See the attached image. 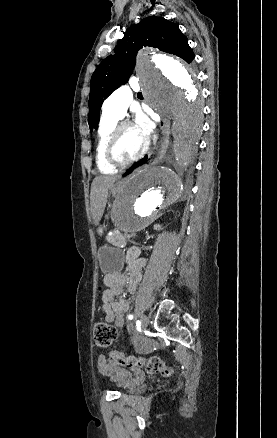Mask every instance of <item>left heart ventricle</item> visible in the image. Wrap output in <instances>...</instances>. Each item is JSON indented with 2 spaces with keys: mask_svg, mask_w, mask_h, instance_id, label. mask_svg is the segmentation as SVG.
Here are the masks:
<instances>
[{
  "mask_svg": "<svg viewBox=\"0 0 277 438\" xmlns=\"http://www.w3.org/2000/svg\"><path fill=\"white\" fill-rule=\"evenodd\" d=\"M143 146L144 142L136 132L135 128L127 127L121 133L117 147V155L124 160L131 159L141 152Z\"/></svg>",
  "mask_w": 277,
  "mask_h": 438,
  "instance_id": "left-heart-ventricle-1",
  "label": "left heart ventricle"
}]
</instances>
